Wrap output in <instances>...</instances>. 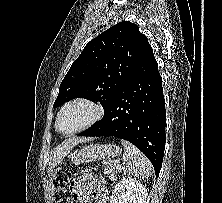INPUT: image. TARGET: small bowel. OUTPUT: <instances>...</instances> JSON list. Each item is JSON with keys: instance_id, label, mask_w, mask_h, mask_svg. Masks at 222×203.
<instances>
[{"instance_id": "small-bowel-1", "label": "small bowel", "mask_w": 222, "mask_h": 203, "mask_svg": "<svg viewBox=\"0 0 222 203\" xmlns=\"http://www.w3.org/2000/svg\"><path fill=\"white\" fill-rule=\"evenodd\" d=\"M74 203H84L93 199L94 203H107L108 187L102 184L95 176L80 178L73 185Z\"/></svg>"}]
</instances>
